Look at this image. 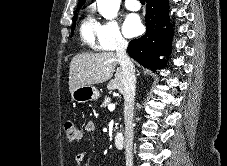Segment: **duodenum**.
<instances>
[{"mask_svg": "<svg viewBox=\"0 0 227 166\" xmlns=\"http://www.w3.org/2000/svg\"><path fill=\"white\" fill-rule=\"evenodd\" d=\"M124 143H125V137L124 134L122 132H118L115 135V146L118 149H122L124 147Z\"/></svg>", "mask_w": 227, "mask_h": 166, "instance_id": "410a0bca", "label": "duodenum"}]
</instances>
